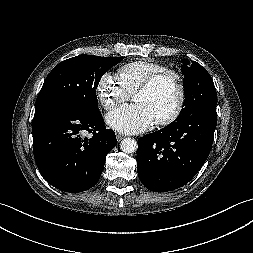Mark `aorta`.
<instances>
[{
	"label": "aorta",
	"mask_w": 253,
	"mask_h": 253,
	"mask_svg": "<svg viewBox=\"0 0 253 253\" xmlns=\"http://www.w3.org/2000/svg\"><path fill=\"white\" fill-rule=\"evenodd\" d=\"M137 142L132 138H125L121 141L120 148L125 153H134L137 150Z\"/></svg>",
	"instance_id": "1"
}]
</instances>
